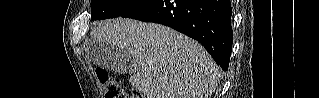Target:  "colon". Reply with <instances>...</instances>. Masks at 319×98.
<instances>
[{
    "mask_svg": "<svg viewBox=\"0 0 319 98\" xmlns=\"http://www.w3.org/2000/svg\"><path fill=\"white\" fill-rule=\"evenodd\" d=\"M96 76L103 86L105 98H129V96L122 90L119 83L111 77L106 70L97 69ZM139 93L134 94L131 98H140Z\"/></svg>",
    "mask_w": 319,
    "mask_h": 98,
    "instance_id": "1",
    "label": "colon"
}]
</instances>
